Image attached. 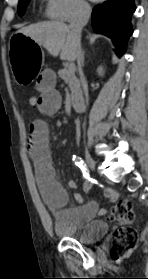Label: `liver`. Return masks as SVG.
I'll list each match as a JSON object with an SVG mask.
<instances>
[{
    "label": "liver",
    "mask_w": 148,
    "mask_h": 279,
    "mask_svg": "<svg viewBox=\"0 0 148 279\" xmlns=\"http://www.w3.org/2000/svg\"><path fill=\"white\" fill-rule=\"evenodd\" d=\"M18 33L32 38L52 56L60 54L61 60H76L77 40L70 28L59 21H48L23 27Z\"/></svg>",
    "instance_id": "obj_1"
}]
</instances>
